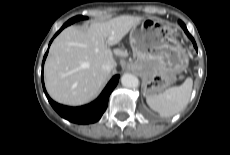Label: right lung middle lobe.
Wrapping results in <instances>:
<instances>
[{
  "mask_svg": "<svg viewBox=\"0 0 230 155\" xmlns=\"http://www.w3.org/2000/svg\"><path fill=\"white\" fill-rule=\"evenodd\" d=\"M84 19H87V17L81 16V15H80V16H76V17H73L72 19L68 20V21L64 24V26H68V25L74 23L75 21L84 20Z\"/></svg>",
  "mask_w": 230,
  "mask_h": 155,
  "instance_id": "dd1d6c3e",
  "label": "right lung middle lobe"
}]
</instances>
